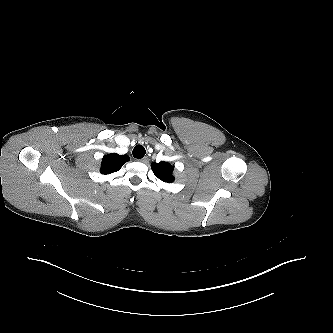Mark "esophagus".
<instances>
[{"label": "esophagus", "mask_w": 333, "mask_h": 333, "mask_svg": "<svg viewBox=\"0 0 333 333\" xmlns=\"http://www.w3.org/2000/svg\"><path fill=\"white\" fill-rule=\"evenodd\" d=\"M140 162L147 163L148 157H143L142 159H139Z\"/></svg>", "instance_id": "1"}]
</instances>
